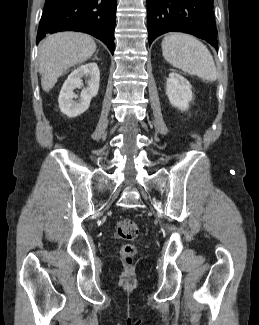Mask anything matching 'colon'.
<instances>
[{
  "label": "colon",
  "mask_w": 259,
  "mask_h": 325,
  "mask_svg": "<svg viewBox=\"0 0 259 325\" xmlns=\"http://www.w3.org/2000/svg\"><path fill=\"white\" fill-rule=\"evenodd\" d=\"M139 233L137 224L130 219H122L117 223L116 234L117 237L125 241H133L137 238ZM137 253V248L134 244H124L120 249L122 259L130 263Z\"/></svg>",
  "instance_id": "colon-1"
}]
</instances>
